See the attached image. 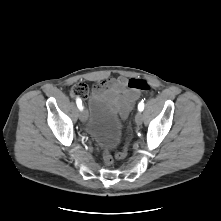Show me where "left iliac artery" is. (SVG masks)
Segmentation results:
<instances>
[{
    "instance_id": "44dca946",
    "label": "left iliac artery",
    "mask_w": 221,
    "mask_h": 221,
    "mask_svg": "<svg viewBox=\"0 0 221 221\" xmlns=\"http://www.w3.org/2000/svg\"><path fill=\"white\" fill-rule=\"evenodd\" d=\"M143 109H144V104H143V102H140V103L138 104V110H139V111H143Z\"/></svg>"
}]
</instances>
